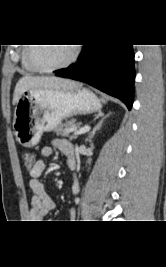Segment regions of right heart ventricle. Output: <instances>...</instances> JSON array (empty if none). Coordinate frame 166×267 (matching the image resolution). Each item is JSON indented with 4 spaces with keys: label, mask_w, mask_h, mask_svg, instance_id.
Instances as JSON below:
<instances>
[{
    "label": "right heart ventricle",
    "mask_w": 166,
    "mask_h": 267,
    "mask_svg": "<svg viewBox=\"0 0 166 267\" xmlns=\"http://www.w3.org/2000/svg\"><path fill=\"white\" fill-rule=\"evenodd\" d=\"M27 46H24L21 51V65L24 70L30 73H36L38 72L34 67L30 65L27 59Z\"/></svg>",
    "instance_id": "1"
}]
</instances>
